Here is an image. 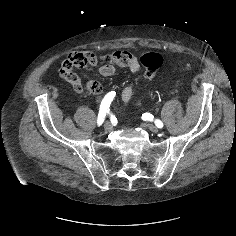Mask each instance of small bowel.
Returning <instances> with one entry per match:
<instances>
[{
	"label": "small bowel",
	"instance_id": "c3829d8e",
	"mask_svg": "<svg viewBox=\"0 0 236 236\" xmlns=\"http://www.w3.org/2000/svg\"><path fill=\"white\" fill-rule=\"evenodd\" d=\"M65 61L69 62L72 68L62 76L76 93L83 91V83L80 77L74 73L75 68H84L99 64V73L104 77L112 76L118 67L128 68L133 74L134 79H136L140 71L139 59L128 51L116 50L99 55L91 51H73ZM134 87V82H131L123 88L121 92L122 100L129 101L132 98ZM87 88L94 94H101L104 91V87L96 81H89Z\"/></svg>",
	"mask_w": 236,
	"mask_h": 236
}]
</instances>
